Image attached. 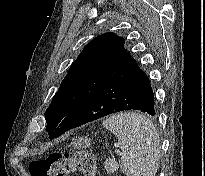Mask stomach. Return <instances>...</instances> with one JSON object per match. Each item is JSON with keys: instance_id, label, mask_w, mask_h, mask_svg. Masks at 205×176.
<instances>
[{"instance_id": "1", "label": "stomach", "mask_w": 205, "mask_h": 176, "mask_svg": "<svg viewBox=\"0 0 205 176\" xmlns=\"http://www.w3.org/2000/svg\"><path fill=\"white\" fill-rule=\"evenodd\" d=\"M90 142H91V139L88 138V137H82L78 140H76L74 143H73V146L74 147H77V148H87L90 146Z\"/></svg>"}]
</instances>
